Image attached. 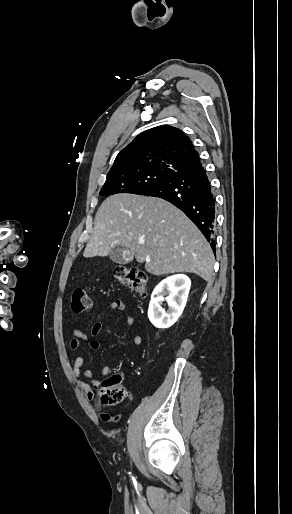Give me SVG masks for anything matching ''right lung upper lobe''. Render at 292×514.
Segmentation results:
<instances>
[{
  "label": "right lung upper lobe",
  "mask_w": 292,
  "mask_h": 514,
  "mask_svg": "<svg viewBox=\"0 0 292 514\" xmlns=\"http://www.w3.org/2000/svg\"><path fill=\"white\" fill-rule=\"evenodd\" d=\"M199 163L198 152L185 133L159 126L139 134L121 150L107 177L143 172L174 174Z\"/></svg>",
  "instance_id": "1"
}]
</instances>
